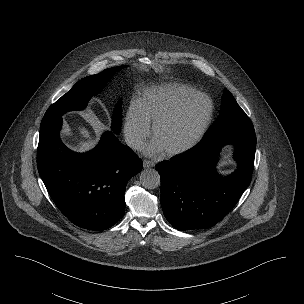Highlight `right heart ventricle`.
<instances>
[{
  "label": "right heart ventricle",
  "instance_id": "e07e8e85",
  "mask_svg": "<svg viewBox=\"0 0 304 304\" xmlns=\"http://www.w3.org/2000/svg\"><path fill=\"white\" fill-rule=\"evenodd\" d=\"M196 92L191 86L172 83L147 90L137 104L148 123L153 124L184 98Z\"/></svg>",
  "mask_w": 304,
  "mask_h": 304
}]
</instances>
